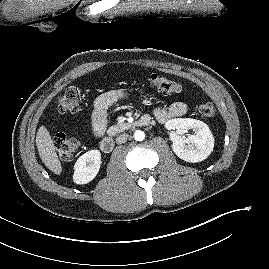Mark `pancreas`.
<instances>
[{
	"label": "pancreas",
	"instance_id": "pancreas-1",
	"mask_svg": "<svg viewBox=\"0 0 269 269\" xmlns=\"http://www.w3.org/2000/svg\"><path fill=\"white\" fill-rule=\"evenodd\" d=\"M130 127V124L127 123H118L117 125H113L108 129V134L113 136L116 135L119 132H122L125 129H128Z\"/></svg>",
	"mask_w": 269,
	"mask_h": 269
}]
</instances>
